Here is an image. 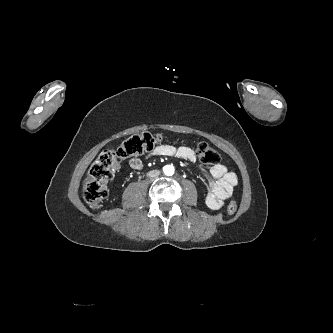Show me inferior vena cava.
<instances>
[{"mask_svg":"<svg viewBox=\"0 0 333 333\" xmlns=\"http://www.w3.org/2000/svg\"><path fill=\"white\" fill-rule=\"evenodd\" d=\"M160 174L158 170H152L147 173V176L150 178L157 177Z\"/></svg>","mask_w":333,"mask_h":333,"instance_id":"1","label":"inferior vena cava"}]
</instances>
